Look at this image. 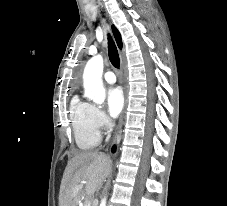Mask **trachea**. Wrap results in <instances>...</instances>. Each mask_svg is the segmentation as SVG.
Masks as SVG:
<instances>
[{"mask_svg": "<svg viewBox=\"0 0 227 206\" xmlns=\"http://www.w3.org/2000/svg\"><path fill=\"white\" fill-rule=\"evenodd\" d=\"M108 54L111 64L115 68H119L120 65L119 54L115 46V43L110 36H108Z\"/></svg>", "mask_w": 227, "mask_h": 206, "instance_id": "obj_1", "label": "trachea"}]
</instances>
